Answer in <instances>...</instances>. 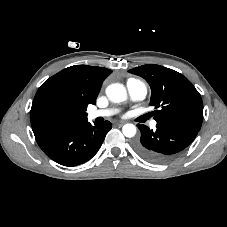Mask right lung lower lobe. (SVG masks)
Here are the masks:
<instances>
[{
	"label": "right lung lower lobe",
	"mask_w": 227,
	"mask_h": 227,
	"mask_svg": "<svg viewBox=\"0 0 227 227\" xmlns=\"http://www.w3.org/2000/svg\"><path fill=\"white\" fill-rule=\"evenodd\" d=\"M112 125L105 121L92 126L87 119L34 132L45 154L55 162L72 167L91 159L101 147Z\"/></svg>",
	"instance_id": "obj_1"
}]
</instances>
